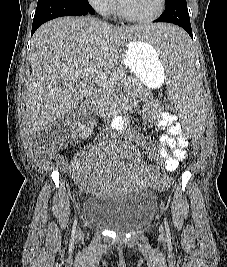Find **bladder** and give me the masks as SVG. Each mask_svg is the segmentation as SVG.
Wrapping results in <instances>:
<instances>
[{
  "mask_svg": "<svg viewBox=\"0 0 227 267\" xmlns=\"http://www.w3.org/2000/svg\"><path fill=\"white\" fill-rule=\"evenodd\" d=\"M155 211L156 196L149 190L116 198L93 194L83 204V216L90 226L120 232L140 228L152 219Z\"/></svg>",
  "mask_w": 227,
  "mask_h": 267,
  "instance_id": "1",
  "label": "bladder"
}]
</instances>
